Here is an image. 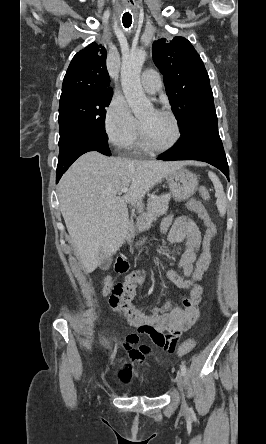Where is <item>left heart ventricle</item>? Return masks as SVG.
<instances>
[{"instance_id":"obj_1","label":"left heart ventricle","mask_w":266,"mask_h":444,"mask_svg":"<svg viewBox=\"0 0 266 444\" xmlns=\"http://www.w3.org/2000/svg\"><path fill=\"white\" fill-rule=\"evenodd\" d=\"M140 121L154 145L165 147L173 140L175 127L168 116L159 114L155 110H149L140 118Z\"/></svg>"}]
</instances>
